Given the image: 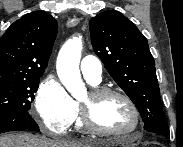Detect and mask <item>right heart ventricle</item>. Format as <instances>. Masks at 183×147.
<instances>
[{"instance_id":"obj_1","label":"right heart ventricle","mask_w":183,"mask_h":147,"mask_svg":"<svg viewBox=\"0 0 183 147\" xmlns=\"http://www.w3.org/2000/svg\"><path fill=\"white\" fill-rule=\"evenodd\" d=\"M75 107H76V117H75V125L78 130L83 131L84 125L81 118V108L78 102L75 101Z\"/></svg>"}]
</instances>
